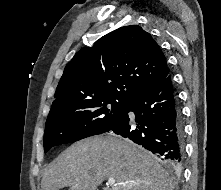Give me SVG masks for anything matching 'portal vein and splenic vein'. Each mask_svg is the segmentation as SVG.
Wrapping results in <instances>:
<instances>
[{"mask_svg":"<svg viewBox=\"0 0 221 190\" xmlns=\"http://www.w3.org/2000/svg\"><path fill=\"white\" fill-rule=\"evenodd\" d=\"M107 185H111V186H116V185L127 186V184H125V183L116 184V181H115L114 178H109L108 181H107Z\"/></svg>","mask_w":221,"mask_h":190,"instance_id":"portal-vein-and-splenic-vein-1","label":"portal vein and splenic vein"}]
</instances>
